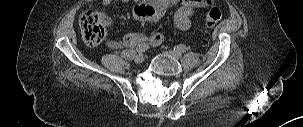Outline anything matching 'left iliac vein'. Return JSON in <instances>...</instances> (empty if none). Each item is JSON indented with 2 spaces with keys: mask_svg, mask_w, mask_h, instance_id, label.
<instances>
[{
  "mask_svg": "<svg viewBox=\"0 0 303 127\" xmlns=\"http://www.w3.org/2000/svg\"><path fill=\"white\" fill-rule=\"evenodd\" d=\"M167 56L173 57L175 59H179L181 57V52L178 50H170L165 52Z\"/></svg>",
  "mask_w": 303,
  "mask_h": 127,
  "instance_id": "obj_1",
  "label": "left iliac vein"
}]
</instances>
